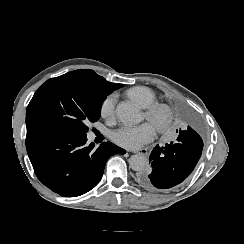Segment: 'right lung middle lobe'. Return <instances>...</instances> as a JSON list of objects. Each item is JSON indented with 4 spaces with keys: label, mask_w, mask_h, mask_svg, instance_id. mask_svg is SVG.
<instances>
[{
    "label": "right lung middle lobe",
    "mask_w": 244,
    "mask_h": 244,
    "mask_svg": "<svg viewBox=\"0 0 244 244\" xmlns=\"http://www.w3.org/2000/svg\"><path fill=\"white\" fill-rule=\"evenodd\" d=\"M107 95L99 81L87 73L69 72L49 79L27 107V132L42 130L85 136L89 130L87 123L100 118Z\"/></svg>",
    "instance_id": "1"
}]
</instances>
